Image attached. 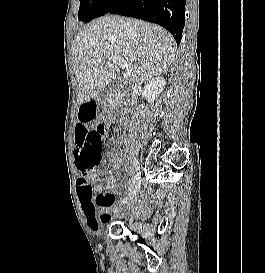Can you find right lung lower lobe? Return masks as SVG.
<instances>
[{
	"mask_svg": "<svg viewBox=\"0 0 265 273\" xmlns=\"http://www.w3.org/2000/svg\"><path fill=\"white\" fill-rule=\"evenodd\" d=\"M156 23L179 45L185 25V0H117L108 12Z\"/></svg>",
	"mask_w": 265,
	"mask_h": 273,
	"instance_id": "obj_1",
	"label": "right lung lower lobe"
}]
</instances>
